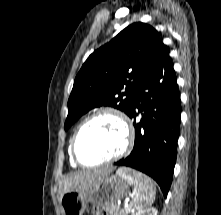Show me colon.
I'll use <instances>...</instances> for the list:
<instances>
[{"instance_id": "obj_1", "label": "colon", "mask_w": 221, "mask_h": 215, "mask_svg": "<svg viewBox=\"0 0 221 215\" xmlns=\"http://www.w3.org/2000/svg\"><path fill=\"white\" fill-rule=\"evenodd\" d=\"M92 215H100L96 210H93ZM106 215V214H104Z\"/></svg>"}]
</instances>
